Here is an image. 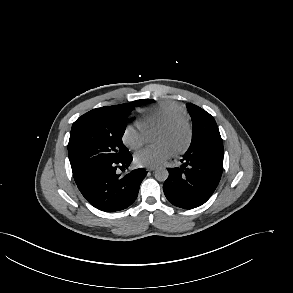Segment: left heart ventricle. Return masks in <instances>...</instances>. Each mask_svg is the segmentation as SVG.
Instances as JSON below:
<instances>
[{
  "mask_svg": "<svg viewBox=\"0 0 293 293\" xmlns=\"http://www.w3.org/2000/svg\"><path fill=\"white\" fill-rule=\"evenodd\" d=\"M186 140V131L183 128L175 130L173 132H167L163 130H158L156 136V142L158 143H168L173 150L178 149L181 147Z\"/></svg>",
  "mask_w": 293,
  "mask_h": 293,
  "instance_id": "b2bd125f",
  "label": "left heart ventricle"
}]
</instances>
